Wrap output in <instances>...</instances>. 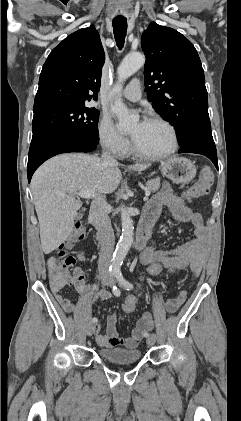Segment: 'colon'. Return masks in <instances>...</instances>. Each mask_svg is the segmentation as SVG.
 Segmentation results:
<instances>
[{
	"mask_svg": "<svg viewBox=\"0 0 241 421\" xmlns=\"http://www.w3.org/2000/svg\"><path fill=\"white\" fill-rule=\"evenodd\" d=\"M212 183L213 173L208 166H204L199 173L198 180L184 193V198L188 201H192L208 194ZM84 233L83 224L77 222L73 227L67 243L63 247L79 241L84 237ZM75 265L76 259L71 255H67L63 248H61L57 253L49 256L47 266L51 284L54 286H62L73 281L76 277L77 269L74 270L73 274H71L70 270L74 268ZM163 270L164 266L160 262H153L148 265L145 276L137 284L136 289L124 300L122 304L124 312L131 313L135 310L136 304L146 283L153 278L158 277Z\"/></svg>",
	"mask_w": 241,
	"mask_h": 421,
	"instance_id": "obj_1",
	"label": "colon"
}]
</instances>
